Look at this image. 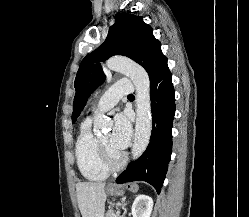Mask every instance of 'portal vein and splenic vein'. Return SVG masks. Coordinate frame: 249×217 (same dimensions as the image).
<instances>
[{
    "mask_svg": "<svg viewBox=\"0 0 249 217\" xmlns=\"http://www.w3.org/2000/svg\"><path fill=\"white\" fill-rule=\"evenodd\" d=\"M117 217H122V216H120V215H117Z\"/></svg>",
    "mask_w": 249,
    "mask_h": 217,
    "instance_id": "18ae733b",
    "label": "portal vein and splenic vein"
}]
</instances>
